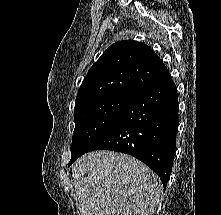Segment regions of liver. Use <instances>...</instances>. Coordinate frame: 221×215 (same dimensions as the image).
<instances>
[{
    "label": "liver",
    "mask_w": 221,
    "mask_h": 215,
    "mask_svg": "<svg viewBox=\"0 0 221 215\" xmlns=\"http://www.w3.org/2000/svg\"><path fill=\"white\" fill-rule=\"evenodd\" d=\"M72 177L80 215H153L163 191L143 162L107 150L80 157Z\"/></svg>",
    "instance_id": "liver-1"
}]
</instances>
